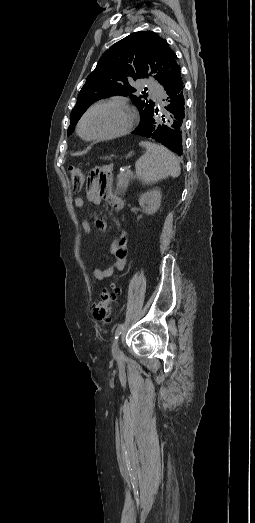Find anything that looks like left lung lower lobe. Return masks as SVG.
Here are the masks:
<instances>
[{"label":"left lung lower lobe","instance_id":"1","mask_svg":"<svg viewBox=\"0 0 255 523\" xmlns=\"http://www.w3.org/2000/svg\"><path fill=\"white\" fill-rule=\"evenodd\" d=\"M175 81V86L169 85L165 90L170 99H166V102L169 103H166L164 108L169 110L170 114H162L160 109L151 111L145 127L134 129V134L140 137H152V140H156L158 145L166 148L171 147L174 154H178L179 158H184V148L182 147L185 144L182 139L185 116L184 109H182L185 107V100H182L184 98V89H182L184 82L180 76H177Z\"/></svg>","mask_w":255,"mask_h":523}]
</instances>
